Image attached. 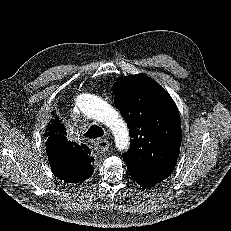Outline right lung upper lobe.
<instances>
[{
    "instance_id": "1",
    "label": "right lung upper lobe",
    "mask_w": 231,
    "mask_h": 231,
    "mask_svg": "<svg viewBox=\"0 0 231 231\" xmlns=\"http://www.w3.org/2000/svg\"><path fill=\"white\" fill-rule=\"evenodd\" d=\"M52 115L55 117L50 120L45 133L48 137L46 152L52 172L65 183L83 182L93 174V157L83 146L67 140L65 126L57 115Z\"/></svg>"
}]
</instances>
